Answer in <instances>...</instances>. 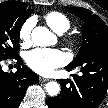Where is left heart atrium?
I'll return each instance as SVG.
<instances>
[{"label": "left heart atrium", "mask_w": 108, "mask_h": 108, "mask_svg": "<svg viewBox=\"0 0 108 108\" xmlns=\"http://www.w3.org/2000/svg\"><path fill=\"white\" fill-rule=\"evenodd\" d=\"M66 61L65 55L56 49L37 48L27 53L26 63L35 72L49 75Z\"/></svg>", "instance_id": "39dd6f15"}]
</instances>
